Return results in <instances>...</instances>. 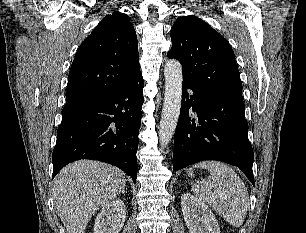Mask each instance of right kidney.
<instances>
[{"mask_svg":"<svg viewBox=\"0 0 306 233\" xmlns=\"http://www.w3.org/2000/svg\"><path fill=\"white\" fill-rule=\"evenodd\" d=\"M126 218L125 204L116 199L105 205L97 215L94 233H119Z\"/></svg>","mask_w":306,"mask_h":233,"instance_id":"1","label":"right kidney"}]
</instances>
